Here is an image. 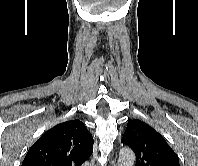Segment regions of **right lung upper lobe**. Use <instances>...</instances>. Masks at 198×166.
I'll list each match as a JSON object with an SVG mask.
<instances>
[{"label":"right lung upper lobe","mask_w":198,"mask_h":166,"mask_svg":"<svg viewBox=\"0 0 198 166\" xmlns=\"http://www.w3.org/2000/svg\"><path fill=\"white\" fill-rule=\"evenodd\" d=\"M92 151L93 138L84 123L71 120L45 132L29 149L22 166H81Z\"/></svg>","instance_id":"right-lung-upper-lobe-1"}]
</instances>
